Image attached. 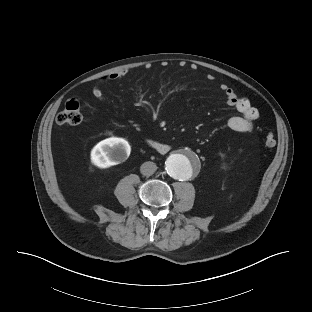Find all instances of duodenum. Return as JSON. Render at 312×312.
<instances>
[{
  "instance_id": "410a0bca",
  "label": "duodenum",
  "mask_w": 312,
  "mask_h": 312,
  "mask_svg": "<svg viewBox=\"0 0 312 312\" xmlns=\"http://www.w3.org/2000/svg\"><path fill=\"white\" fill-rule=\"evenodd\" d=\"M148 144L151 148H153L156 152L159 153H167L170 150V146L168 144L159 142L154 139H149Z\"/></svg>"
}]
</instances>
